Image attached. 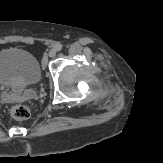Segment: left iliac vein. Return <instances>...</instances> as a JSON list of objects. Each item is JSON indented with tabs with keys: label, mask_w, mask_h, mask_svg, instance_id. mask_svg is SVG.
Masks as SVG:
<instances>
[{
	"label": "left iliac vein",
	"mask_w": 163,
	"mask_h": 163,
	"mask_svg": "<svg viewBox=\"0 0 163 163\" xmlns=\"http://www.w3.org/2000/svg\"><path fill=\"white\" fill-rule=\"evenodd\" d=\"M56 55V50L55 49H51L48 56L53 58ZM44 62H47V57L44 58Z\"/></svg>",
	"instance_id": "left-iliac-vein-1"
}]
</instances>
